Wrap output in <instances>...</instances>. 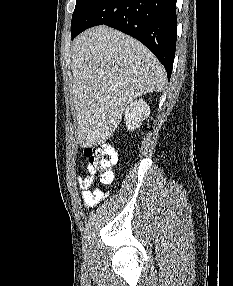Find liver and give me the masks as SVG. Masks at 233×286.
<instances>
[{
	"label": "liver",
	"mask_w": 233,
	"mask_h": 286,
	"mask_svg": "<svg viewBox=\"0 0 233 286\" xmlns=\"http://www.w3.org/2000/svg\"><path fill=\"white\" fill-rule=\"evenodd\" d=\"M71 70L76 140L82 147L106 142L133 99L162 91L166 83L164 68L144 45L106 26L75 39Z\"/></svg>",
	"instance_id": "6515ba94"
}]
</instances>
